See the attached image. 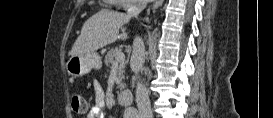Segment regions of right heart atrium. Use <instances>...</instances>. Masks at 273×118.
<instances>
[{"label":"right heart atrium","mask_w":273,"mask_h":118,"mask_svg":"<svg viewBox=\"0 0 273 118\" xmlns=\"http://www.w3.org/2000/svg\"><path fill=\"white\" fill-rule=\"evenodd\" d=\"M114 2L123 9H132L136 7V0H114Z\"/></svg>","instance_id":"1"}]
</instances>
